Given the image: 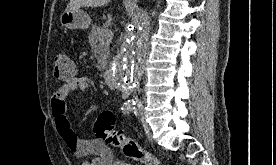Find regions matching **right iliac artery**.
Wrapping results in <instances>:
<instances>
[{
  "mask_svg": "<svg viewBox=\"0 0 276 165\" xmlns=\"http://www.w3.org/2000/svg\"><path fill=\"white\" fill-rule=\"evenodd\" d=\"M121 109L124 114H129V113L135 111V109H136L135 102L128 100L124 103V105Z\"/></svg>",
  "mask_w": 276,
  "mask_h": 165,
  "instance_id": "right-iliac-artery-1",
  "label": "right iliac artery"
}]
</instances>
